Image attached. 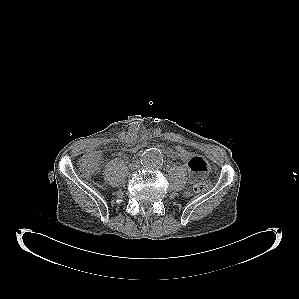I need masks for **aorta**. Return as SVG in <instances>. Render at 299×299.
I'll return each instance as SVG.
<instances>
[{"instance_id": "1", "label": "aorta", "mask_w": 299, "mask_h": 299, "mask_svg": "<svg viewBox=\"0 0 299 299\" xmlns=\"http://www.w3.org/2000/svg\"><path fill=\"white\" fill-rule=\"evenodd\" d=\"M141 163L147 168H156L163 164V156L160 149L153 147L147 149L141 155Z\"/></svg>"}]
</instances>
